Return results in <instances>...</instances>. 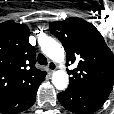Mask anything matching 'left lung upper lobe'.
<instances>
[{"label": "left lung upper lobe", "instance_id": "5c2ea615", "mask_svg": "<svg viewBox=\"0 0 114 114\" xmlns=\"http://www.w3.org/2000/svg\"><path fill=\"white\" fill-rule=\"evenodd\" d=\"M49 30L61 41L66 64H78L68 70L69 87L109 96L114 85V55L100 32L80 18L52 22Z\"/></svg>", "mask_w": 114, "mask_h": 114}]
</instances>
